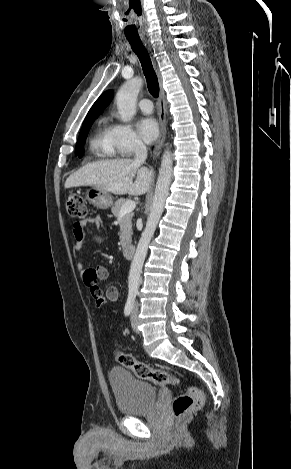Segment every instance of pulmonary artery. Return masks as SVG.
<instances>
[{
  "label": "pulmonary artery",
  "mask_w": 291,
  "mask_h": 469,
  "mask_svg": "<svg viewBox=\"0 0 291 469\" xmlns=\"http://www.w3.org/2000/svg\"><path fill=\"white\" fill-rule=\"evenodd\" d=\"M138 106L143 113L149 114L153 111L152 102L147 98L141 99Z\"/></svg>",
  "instance_id": "obj_1"
}]
</instances>
